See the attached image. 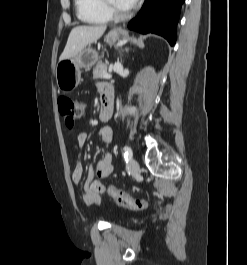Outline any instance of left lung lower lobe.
<instances>
[{
    "label": "left lung lower lobe",
    "mask_w": 247,
    "mask_h": 265,
    "mask_svg": "<svg viewBox=\"0 0 247 265\" xmlns=\"http://www.w3.org/2000/svg\"><path fill=\"white\" fill-rule=\"evenodd\" d=\"M185 0H145L139 15L128 24L130 29L141 33H156L168 40L176 41V28L181 6Z\"/></svg>",
    "instance_id": "1"
}]
</instances>
